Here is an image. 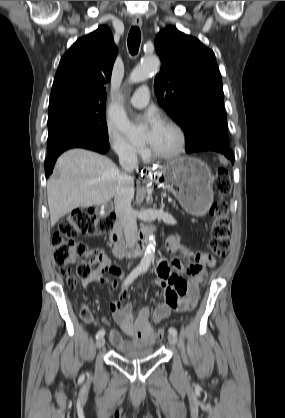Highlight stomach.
<instances>
[{
    "label": "stomach",
    "mask_w": 285,
    "mask_h": 418,
    "mask_svg": "<svg viewBox=\"0 0 285 418\" xmlns=\"http://www.w3.org/2000/svg\"><path fill=\"white\" fill-rule=\"evenodd\" d=\"M159 187L171 192L182 208L194 216H203L213 203L211 172L201 160L178 157L156 173Z\"/></svg>",
    "instance_id": "1"
}]
</instances>
